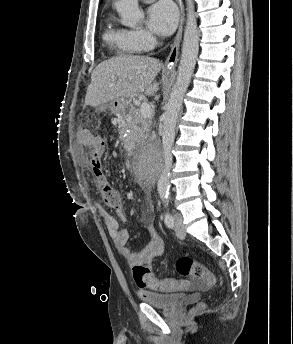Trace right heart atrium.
Returning a JSON list of instances; mask_svg holds the SVG:
<instances>
[{"mask_svg": "<svg viewBox=\"0 0 293 344\" xmlns=\"http://www.w3.org/2000/svg\"><path fill=\"white\" fill-rule=\"evenodd\" d=\"M130 42L139 51H147L154 48L155 37L143 28H134L127 30Z\"/></svg>", "mask_w": 293, "mask_h": 344, "instance_id": "1", "label": "right heart atrium"}]
</instances>
